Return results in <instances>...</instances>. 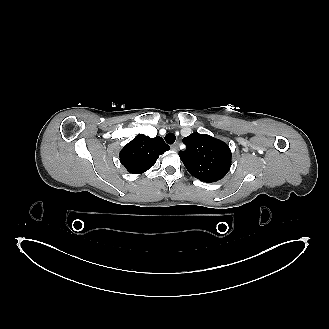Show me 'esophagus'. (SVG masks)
Returning a JSON list of instances; mask_svg holds the SVG:
<instances>
[{"label": "esophagus", "mask_w": 329, "mask_h": 329, "mask_svg": "<svg viewBox=\"0 0 329 329\" xmlns=\"http://www.w3.org/2000/svg\"><path fill=\"white\" fill-rule=\"evenodd\" d=\"M171 149L173 151H178L179 150V144L178 143H175V144L171 145Z\"/></svg>", "instance_id": "1"}]
</instances>
